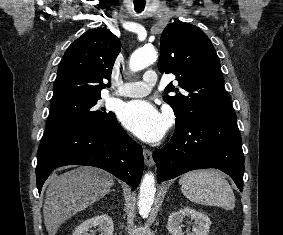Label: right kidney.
Returning a JSON list of instances; mask_svg holds the SVG:
<instances>
[{"label":"right kidney","mask_w":283,"mask_h":235,"mask_svg":"<svg viewBox=\"0 0 283 235\" xmlns=\"http://www.w3.org/2000/svg\"><path fill=\"white\" fill-rule=\"evenodd\" d=\"M98 227L99 235H113L114 224L113 220L107 215H97L83 221L75 228L72 235H90L88 232L92 228Z\"/></svg>","instance_id":"ca27d5eb"}]
</instances>
